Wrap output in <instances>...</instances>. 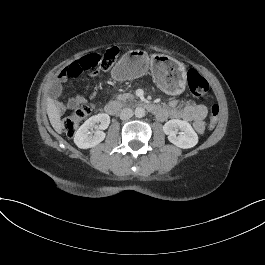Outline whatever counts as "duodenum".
Masks as SVG:
<instances>
[{
	"mask_svg": "<svg viewBox=\"0 0 265 265\" xmlns=\"http://www.w3.org/2000/svg\"><path fill=\"white\" fill-rule=\"evenodd\" d=\"M138 105L145 106L150 112L155 114L157 117L161 116L163 114V108L159 105H156L154 103H148V102H140ZM122 108V103L120 101H110L105 106V112L108 115L114 116L119 113V111Z\"/></svg>",
	"mask_w": 265,
	"mask_h": 265,
	"instance_id": "1",
	"label": "duodenum"
}]
</instances>
